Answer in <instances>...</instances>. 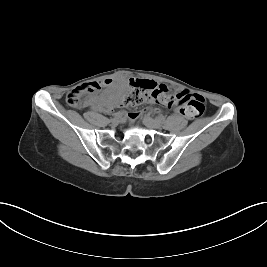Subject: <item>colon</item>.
Returning a JSON list of instances; mask_svg holds the SVG:
<instances>
[{
  "label": "colon",
  "instance_id": "1",
  "mask_svg": "<svg viewBox=\"0 0 267 267\" xmlns=\"http://www.w3.org/2000/svg\"><path fill=\"white\" fill-rule=\"evenodd\" d=\"M87 86H79L67 95V103L72 107L80 108L84 105V95L87 92ZM182 102L179 112L187 118H198L205 110V99L199 94H191L183 91L180 94ZM117 101L126 106H134L142 102H151L162 106H169L173 102V95L165 85H157L155 82L147 79H136L131 81V88L123 98H117Z\"/></svg>",
  "mask_w": 267,
  "mask_h": 267
}]
</instances>
